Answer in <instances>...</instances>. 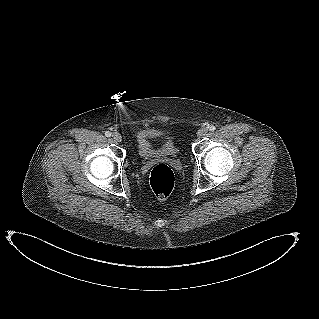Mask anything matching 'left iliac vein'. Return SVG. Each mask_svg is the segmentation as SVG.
<instances>
[{"label":"left iliac vein","mask_w":319,"mask_h":319,"mask_svg":"<svg viewBox=\"0 0 319 319\" xmlns=\"http://www.w3.org/2000/svg\"><path fill=\"white\" fill-rule=\"evenodd\" d=\"M207 133H208V129L203 127V128L198 130L197 136L198 137H204L205 135H207Z\"/></svg>","instance_id":"left-iliac-vein-1"}]
</instances>
